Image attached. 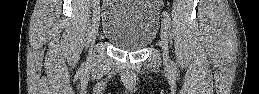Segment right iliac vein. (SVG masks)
<instances>
[{"label":"right iliac vein","mask_w":259,"mask_h":94,"mask_svg":"<svg viewBox=\"0 0 259 94\" xmlns=\"http://www.w3.org/2000/svg\"><path fill=\"white\" fill-rule=\"evenodd\" d=\"M99 7L95 6L93 11L92 38L95 39L99 29L100 15Z\"/></svg>","instance_id":"1"}]
</instances>
